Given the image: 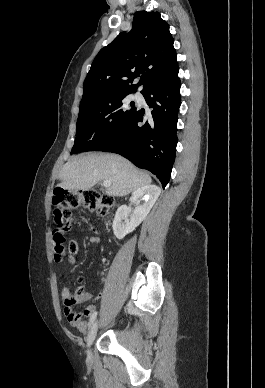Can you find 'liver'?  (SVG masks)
<instances>
[{
    "instance_id": "1",
    "label": "liver",
    "mask_w": 265,
    "mask_h": 388,
    "mask_svg": "<svg viewBox=\"0 0 265 388\" xmlns=\"http://www.w3.org/2000/svg\"><path fill=\"white\" fill-rule=\"evenodd\" d=\"M58 180L59 188L65 190H88L98 182H111L106 188L108 196H127L130 192L150 186L152 180L146 172H139L131 162L115 154H88L73 158L63 166Z\"/></svg>"
}]
</instances>
